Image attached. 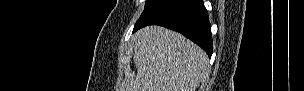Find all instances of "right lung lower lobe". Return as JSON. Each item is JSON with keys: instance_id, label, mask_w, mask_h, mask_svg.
Returning <instances> with one entry per match:
<instances>
[{"instance_id": "obj_1", "label": "right lung lower lobe", "mask_w": 304, "mask_h": 91, "mask_svg": "<svg viewBox=\"0 0 304 91\" xmlns=\"http://www.w3.org/2000/svg\"><path fill=\"white\" fill-rule=\"evenodd\" d=\"M148 25L177 31L198 44L209 57L212 55L211 25L201 0H154L145 7L133 32Z\"/></svg>"}]
</instances>
